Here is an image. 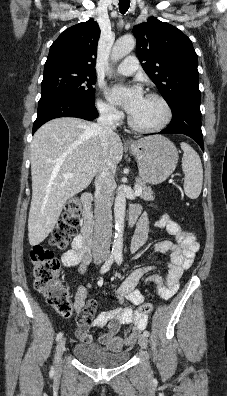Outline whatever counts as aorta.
<instances>
[{
	"label": "aorta",
	"instance_id": "762f6f07",
	"mask_svg": "<svg viewBox=\"0 0 227 396\" xmlns=\"http://www.w3.org/2000/svg\"><path fill=\"white\" fill-rule=\"evenodd\" d=\"M135 39L131 35L119 38L112 49L111 59L117 61L128 55L135 47ZM126 210V198L124 192H118L114 203L115 217V239L113 244L114 252H121L123 248L124 218Z\"/></svg>",
	"mask_w": 227,
	"mask_h": 396
}]
</instances>
